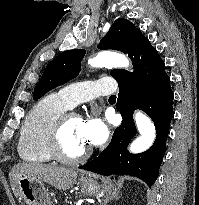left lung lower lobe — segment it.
Here are the masks:
<instances>
[{"mask_svg":"<svg viewBox=\"0 0 199 205\" xmlns=\"http://www.w3.org/2000/svg\"><path fill=\"white\" fill-rule=\"evenodd\" d=\"M128 55L133 63V73L120 70L115 78L119 86L116 107L123 117V123L114 131L108 147L79 168L104 176H136L151 187L158 177L165 154L174 115V95L163 60L141 32L134 39ZM135 109H141L150 116L157 133L150 149L140 154H131L127 150L130 140L137 133L133 120Z\"/></svg>","mask_w":199,"mask_h":205,"instance_id":"0a47b994","label":"left lung lower lobe"}]
</instances>
